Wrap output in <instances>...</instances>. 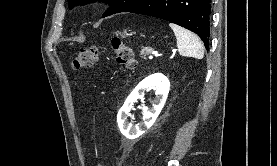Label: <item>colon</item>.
<instances>
[{
    "label": "colon",
    "instance_id": "1",
    "mask_svg": "<svg viewBox=\"0 0 277 166\" xmlns=\"http://www.w3.org/2000/svg\"><path fill=\"white\" fill-rule=\"evenodd\" d=\"M111 47L115 54L116 62L128 69H133L136 66V59L131 47L126 45L118 37L110 39ZM99 58V49L95 46L83 48L79 51L73 60L75 69L89 68L93 66Z\"/></svg>",
    "mask_w": 277,
    "mask_h": 166
}]
</instances>
